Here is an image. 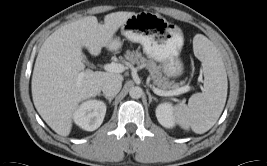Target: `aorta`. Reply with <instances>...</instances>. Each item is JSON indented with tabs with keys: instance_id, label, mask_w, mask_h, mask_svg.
Wrapping results in <instances>:
<instances>
[{
	"instance_id": "762f6f07",
	"label": "aorta",
	"mask_w": 267,
	"mask_h": 166,
	"mask_svg": "<svg viewBox=\"0 0 267 166\" xmlns=\"http://www.w3.org/2000/svg\"><path fill=\"white\" fill-rule=\"evenodd\" d=\"M142 94H143V91L138 86L132 87L129 90V95L133 99H139L142 96Z\"/></svg>"
}]
</instances>
